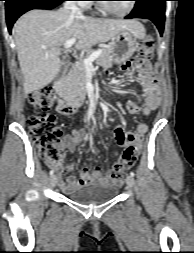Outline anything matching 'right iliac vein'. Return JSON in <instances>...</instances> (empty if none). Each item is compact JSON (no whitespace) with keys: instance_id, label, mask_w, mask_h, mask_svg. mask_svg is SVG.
Wrapping results in <instances>:
<instances>
[{"instance_id":"right-iliac-vein-1","label":"right iliac vein","mask_w":194,"mask_h":253,"mask_svg":"<svg viewBox=\"0 0 194 253\" xmlns=\"http://www.w3.org/2000/svg\"><path fill=\"white\" fill-rule=\"evenodd\" d=\"M50 183H51V185H52L53 187L56 186V184H57V177H56L55 175H52V176L50 177Z\"/></svg>"}]
</instances>
